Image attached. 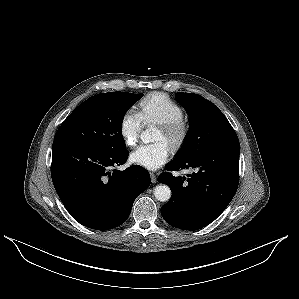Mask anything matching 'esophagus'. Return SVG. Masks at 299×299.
<instances>
[{"label": "esophagus", "mask_w": 299, "mask_h": 299, "mask_svg": "<svg viewBox=\"0 0 299 299\" xmlns=\"http://www.w3.org/2000/svg\"><path fill=\"white\" fill-rule=\"evenodd\" d=\"M150 177H151V182L152 183H156L157 182V177H156L155 173L150 172Z\"/></svg>", "instance_id": "esophagus-1"}]
</instances>
